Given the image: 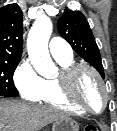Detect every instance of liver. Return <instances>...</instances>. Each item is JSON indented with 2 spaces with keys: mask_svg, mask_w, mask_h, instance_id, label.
Segmentation results:
<instances>
[{
  "mask_svg": "<svg viewBox=\"0 0 117 131\" xmlns=\"http://www.w3.org/2000/svg\"><path fill=\"white\" fill-rule=\"evenodd\" d=\"M65 117L67 114L56 108L0 99V131H39Z\"/></svg>",
  "mask_w": 117,
  "mask_h": 131,
  "instance_id": "obj_1",
  "label": "liver"
}]
</instances>
